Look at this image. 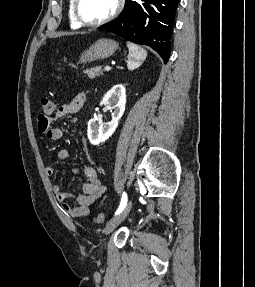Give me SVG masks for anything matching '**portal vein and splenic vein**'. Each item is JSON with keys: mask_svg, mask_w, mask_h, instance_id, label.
Wrapping results in <instances>:
<instances>
[{"mask_svg": "<svg viewBox=\"0 0 255 287\" xmlns=\"http://www.w3.org/2000/svg\"><path fill=\"white\" fill-rule=\"evenodd\" d=\"M104 70H107V72H109V70H111L110 66H105Z\"/></svg>", "mask_w": 255, "mask_h": 287, "instance_id": "1", "label": "portal vein and splenic vein"}]
</instances>
